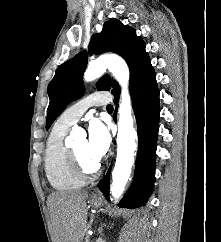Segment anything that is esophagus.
<instances>
[{"instance_id":"esophagus-1","label":"esophagus","mask_w":221,"mask_h":242,"mask_svg":"<svg viewBox=\"0 0 221 242\" xmlns=\"http://www.w3.org/2000/svg\"><path fill=\"white\" fill-rule=\"evenodd\" d=\"M92 197H101V193L99 192L98 189H94L92 194H91Z\"/></svg>"}]
</instances>
